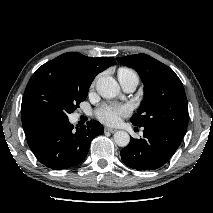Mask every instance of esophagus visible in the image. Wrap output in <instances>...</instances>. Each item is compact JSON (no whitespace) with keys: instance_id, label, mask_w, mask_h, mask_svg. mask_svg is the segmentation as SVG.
Masks as SVG:
<instances>
[{"instance_id":"esophagus-1","label":"esophagus","mask_w":213,"mask_h":213,"mask_svg":"<svg viewBox=\"0 0 213 213\" xmlns=\"http://www.w3.org/2000/svg\"><path fill=\"white\" fill-rule=\"evenodd\" d=\"M104 130H105L106 132H110V133H114V132L117 131L116 129H114V128H109V127H106Z\"/></svg>"}]
</instances>
